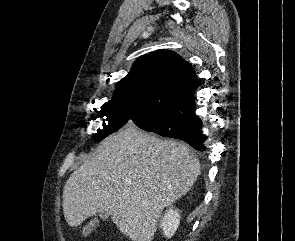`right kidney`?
<instances>
[{"label":"right kidney","instance_id":"ca27d5eb","mask_svg":"<svg viewBox=\"0 0 295 241\" xmlns=\"http://www.w3.org/2000/svg\"><path fill=\"white\" fill-rule=\"evenodd\" d=\"M180 224V214L178 210L170 208L162 218L160 227H162L166 237L171 238Z\"/></svg>","mask_w":295,"mask_h":241}]
</instances>
